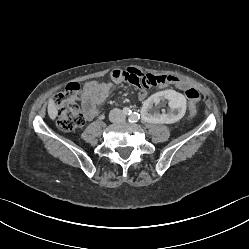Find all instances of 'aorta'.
Returning <instances> with one entry per match:
<instances>
[{"label":"aorta","mask_w":249,"mask_h":249,"mask_svg":"<svg viewBox=\"0 0 249 249\" xmlns=\"http://www.w3.org/2000/svg\"><path fill=\"white\" fill-rule=\"evenodd\" d=\"M130 119H131L132 121H136V120L138 119V117H137L136 114H134V115L130 116Z\"/></svg>","instance_id":"1"}]
</instances>
